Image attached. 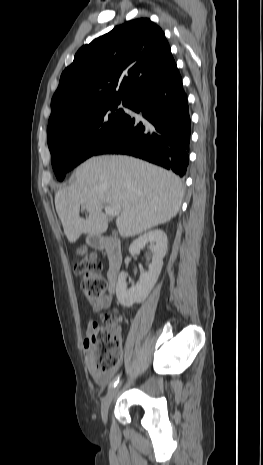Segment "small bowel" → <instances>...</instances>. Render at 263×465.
Listing matches in <instances>:
<instances>
[{"label":"small bowel","mask_w":263,"mask_h":465,"mask_svg":"<svg viewBox=\"0 0 263 465\" xmlns=\"http://www.w3.org/2000/svg\"><path fill=\"white\" fill-rule=\"evenodd\" d=\"M112 303V296L111 295H104L102 298H100L99 300L97 301H94L92 302V307L95 311H100V310H103V309H106L108 308ZM94 322L93 321H90L89 324H88V328H87V337L90 335L93 327H94ZM84 346H85V353H86V357H87V361H88V369H89V372L90 374L92 375V377L94 378V380L99 384V385H102L104 386L105 384H107V382L111 379V377L114 375L115 373V370H112V371H109V372H106V373H102V372H99L92 360H91V351H90V347L89 345L86 343V341L84 342Z\"/></svg>","instance_id":"1"}]
</instances>
